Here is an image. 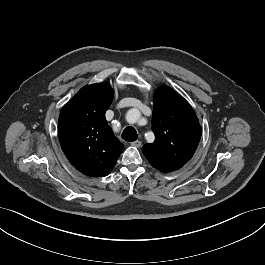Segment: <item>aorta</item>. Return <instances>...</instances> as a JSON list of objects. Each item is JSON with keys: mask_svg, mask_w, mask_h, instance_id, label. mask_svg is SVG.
<instances>
[{"mask_svg": "<svg viewBox=\"0 0 265 265\" xmlns=\"http://www.w3.org/2000/svg\"><path fill=\"white\" fill-rule=\"evenodd\" d=\"M132 111L135 112V113H137V115H139L137 110H132ZM130 114H131V111L128 112L127 119L131 122V116H130Z\"/></svg>", "mask_w": 265, "mask_h": 265, "instance_id": "1", "label": "aorta"}]
</instances>
